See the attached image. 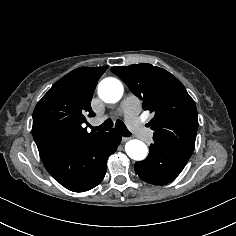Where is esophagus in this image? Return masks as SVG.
<instances>
[{
	"label": "esophagus",
	"mask_w": 236,
	"mask_h": 236,
	"mask_svg": "<svg viewBox=\"0 0 236 236\" xmlns=\"http://www.w3.org/2000/svg\"><path fill=\"white\" fill-rule=\"evenodd\" d=\"M130 139V137H122V141L123 142H126L127 140H129Z\"/></svg>",
	"instance_id": "1"
}]
</instances>
